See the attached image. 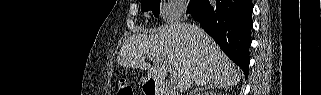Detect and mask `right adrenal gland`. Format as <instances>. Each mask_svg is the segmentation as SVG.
<instances>
[{
  "label": "right adrenal gland",
  "instance_id": "1",
  "mask_svg": "<svg viewBox=\"0 0 321 95\" xmlns=\"http://www.w3.org/2000/svg\"><path fill=\"white\" fill-rule=\"evenodd\" d=\"M227 89V87H223V86H219V85H216V84H207L205 85L204 87L202 88H197L196 90H194L193 92L195 94H197L198 92L200 91H205V90H209V89ZM193 92H191V94H193Z\"/></svg>",
  "mask_w": 321,
  "mask_h": 95
}]
</instances>
